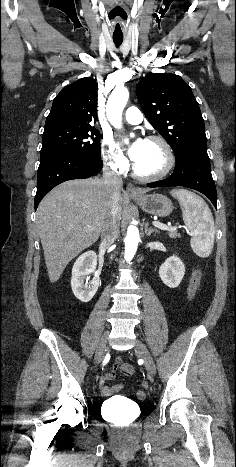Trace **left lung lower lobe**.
I'll return each mask as SVG.
<instances>
[{"instance_id":"0a47b994","label":"left lung lower lobe","mask_w":236,"mask_h":467,"mask_svg":"<svg viewBox=\"0 0 236 467\" xmlns=\"http://www.w3.org/2000/svg\"><path fill=\"white\" fill-rule=\"evenodd\" d=\"M148 187L184 186L195 189L207 196L213 205L217 204V193L212 178L210 159L206 146L190 148L176 161L173 174L167 179L149 183Z\"/></svg>"}]
</instances>
